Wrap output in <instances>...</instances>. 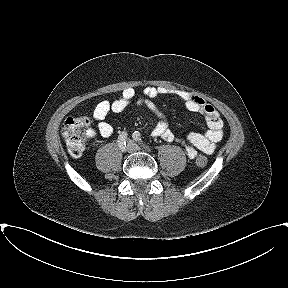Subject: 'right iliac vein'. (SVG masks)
Returning a JSON list of instances; mask_svg holds the SVG:
<instances>
[{"label":"right iliac vein","instance_id":"63e3f726","mask_svg":"<svg viewBox=\"0 0 288 288\" xmlns=\"http://www.w3.org/2000/svg\"><path fill=\"white\" fill-rule=\"evenodd\" d=\"M124 151L129 152V153L133 152L134 151V144L131 143V142H128V144L125 147Z\"/></svg>","mask_w":288,"mask_h":288}]
</instances>
